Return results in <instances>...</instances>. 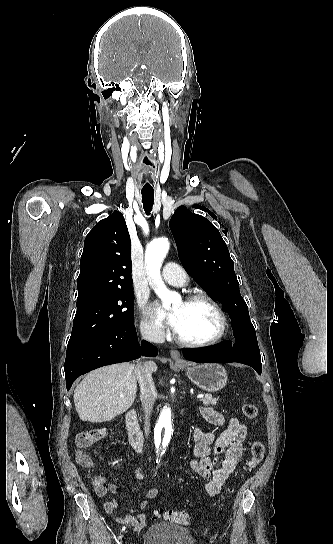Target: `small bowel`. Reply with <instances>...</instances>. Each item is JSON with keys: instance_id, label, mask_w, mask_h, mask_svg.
Segmentation results:
<instances>
[{"instance_id": "1", "label": "small bowel", "mask_w": 333, "mask_h": 544, "mask_svg": "<svg viewBox=\"0 0 333 544\" xmlns=\"http://www.w3.org/2000/svg\"><path fill=\"white\" fill-rule=\"evenodd\" d=\"M200 412L203 418L214 426H222L226 423L224 416L212 407H202ZM247 430L236 418H230L226 428L216 434L213 431L194 430L193 455L195 459L189 463L190 469L207 480L205 491L208 496L214 497L220 493L223 485L234 472L240 457L246 438ZM134 475L140 481L145 476L138 466ZM117 485L107 481L105 477H97L94 480V491L98 497H106L117 492ZM157 495L155 488L144 494L145 499H152ZM104 511L112 519L124 528L132 526L135 532H140L146 526V515L141 510L148 508V503L143 500L137 509L126 513L118 512V503L108 500L103 505Z\"/></svg>"}]
</instances>
